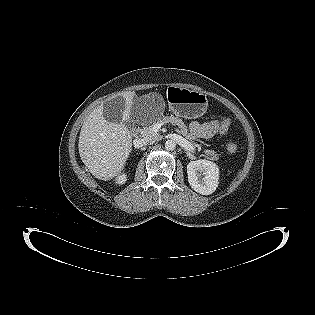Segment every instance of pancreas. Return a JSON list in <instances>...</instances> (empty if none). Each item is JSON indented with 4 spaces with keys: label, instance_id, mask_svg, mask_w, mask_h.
<instances>
[{
    "label": "pancreas",
    "instance_id": "cf45deb5",
    "mask_svg": "<svg viewBox=\"0 0 315 315\" xmlns=\"http://www.w3.org/2000/svg\"><path fill=\"white\" fill-rule=\"evenodd\" d=\"M158 123L163 122V123H171L173 125H177L178 128L180 129V133L187 139L189 140L195 147L200 150V145L196 144L194 140L196 139L195 136H193L191 133H189L187 127L185 126L184 122L182 119L178 117H174L173 115L171 116H163L160 117L157 120ZM142 136H154V137H159L158 133H155L153 131V125L146 126L142 129L141 131ZM205 157L212 159V160H218L219 156L214 150H205Z\"/></svg>",
    "mask_w": 315,
    "mask_h": 315
}]
</instances>
